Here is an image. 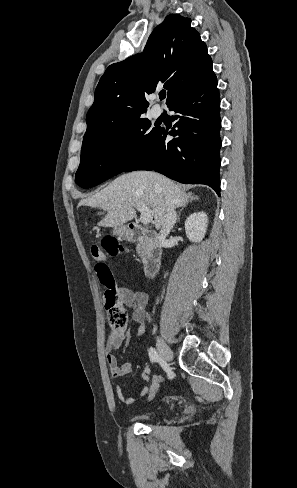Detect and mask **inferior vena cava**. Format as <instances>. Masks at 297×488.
Listing matches in <instances>:
<instances>
[{"instance_id": "602c4592", "label": "inferior vena cava", "mask_w": 297, "mask_h": 488, "mask_svg": "<svg viewBox=\"0 0 297 488\" xmlns=\"http://www.w3.org/2000/svg\"><path fill=\"white\" fill-rule=\"evenodd\" d=\"M177 215L175 211V205L173 200L166 196V214L162 224V229L160 231V235L158 236V240L160 243H164L166 241V237L170 233V230L173 228L174 224L176 223Z\"/></svg>"}]
</instances>
